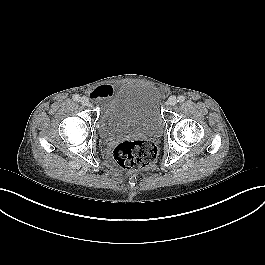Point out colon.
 Wrapping results in <instances>:
<instances>
[{"instance_id":"1","label":"colon","mask_w":265,"mask_h":265,"mask_svg":"<svg viewBox=\"0 0 265 265\" xmlns=\"http://www.w3.org/2000/svg\"><path fill=\"white\" fill-rule=\"evenodd\" d=\"M157 155L156 145L148 140L123 141L113 150L114 161L123 170H147L155 163Z\"/></svg>"}]
</instances>
